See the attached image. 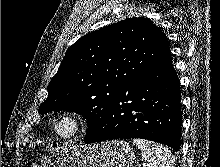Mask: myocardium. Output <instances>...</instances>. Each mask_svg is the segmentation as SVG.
<instances>
[{
	"instance_id": "1",
	"label": "myocardium",
	"mask_w": 220,
	"mask_h": 167,
	"mask_svg": "<svg viewBox=\"0 0 220 167\" xmlns=\"http://www.w3.org/2000/svg\"><path fill=\"white\" fill-rule=\"evenodd\" d=\"M62 124H68L70 131L61 133L59 127ZM88 130V121L86 117L77 111H66L57 116L52 125L54 135L62 141H73L80 138Z\"/></svg>"
}]
</instances>
